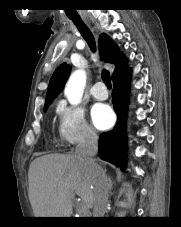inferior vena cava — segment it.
<instances>
[{
	"label": "inferior vena cava",
	"mask_w": 181,
	"mask_h": 227,
	"mask_svg": "<svg viewBox=\"0 0 181 227\" xmlns=\"http://www.w3.org/2000/svg\"><path fill=\"white\" fill-rule=\"evenodd\" d=\"M98 151V136L92 129H87L84 139L77 145L75 153L94 169V202L93 217H104L108 204V191L110 188L105 172L95 163L93 157Z\"/></svg>",
	"instance_id": "inferior-vena-cava-1"
}]
</instances>
